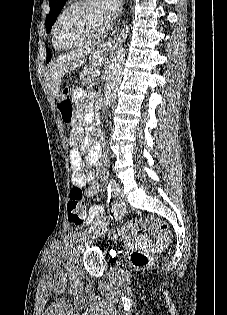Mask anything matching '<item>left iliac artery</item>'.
<instances>
[{
    "instance_id": "44dca946",
    "label": "left iliac artery",
    "mask_w": 227,
    "mask_h": 315,
    "mask_svg": "<svg viewBox=\"0 0 227 315\" xmlns=\"http://www.w3.org/2000/svg\"><path fill=\"white\" fill-rule=\"evenodd\" d=\"M114 184H115L114 180L110 179V180L108 181V199H110L111 193H112V192H115V190H114ZM101 219H102V221H103V216L101 217ZM101 219H98V220H96V221L93 223V225H92V226L90 227V229H89V233H92L94 230H96V228L98 227V225L101 224ZM104 219H105V218H104Z\"/></svg>"
}]
</instances>
